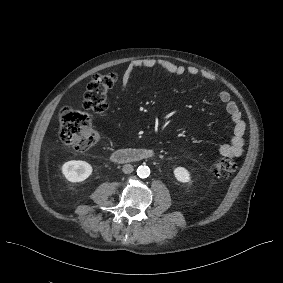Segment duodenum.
Instances as JSON below:
<instances>
[{
    "instance_id": "410a0bca",
    "label": "duodenum",
    "mask_w": 283,
    "mask_h": 283,
    "mask_svg": "<svg viewBox=\"0 0 283 283\" xmlns=\"http://www.w3.org/2000/svg\"><path fill=\"white\" fill-rule=\"evenodd\" d=\"M154 156V151L147 148L122 149L115 151L111 155V160L115 163H129L149 160Z\"/></svg>"
}]
</instances>
